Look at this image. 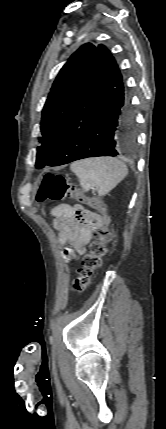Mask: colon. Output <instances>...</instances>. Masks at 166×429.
I'll use <instances>...</instances> for the list:
<instances>
[{
	"instance_id": "1",
	"label": "colon",
	"mask_w": 166,
	"mask_h": 429,
	"mask_svg": "<svg viewBox=\"0 0 166 429\" xmlns=\"http://www.w3.org/2000/svg\"><path fill=\"white\" fill-rule=\"evenodd\" d=\"M67 196L78 197L79 193L64 176L54 173L46 174L38 190L37 200L39 202L47 200L58 202ZM80 199L82 200L81 197ZM85 200L98 209L102 226L95 231V239L90 245L89 253L83 258L77 275L72 281V290L78 293L84 292L91 283L95 271L100 267L102 258L107 252L106 245L111 238L108 229L110 217L106 205L95 196H88Z\"/></svg>"
}]
</instances>
